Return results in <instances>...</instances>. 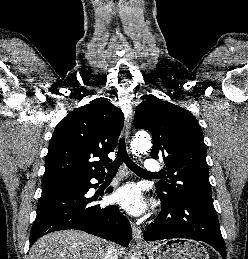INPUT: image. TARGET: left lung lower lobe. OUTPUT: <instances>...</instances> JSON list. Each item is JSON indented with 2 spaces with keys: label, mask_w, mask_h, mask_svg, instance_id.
Here are the masks:
<instances>
[{
  "label": "left lung lower lobe",
  "mask_w": 248,
  "mask_h": 259,
  "mask_svg": "<svg viewBox=\"0 0 248 259\" xmlns=\"http://www.w3.org/2000/svg\"><path fill=\"white\" fill-rule=\"evenodd\" d=\"M160 197V196H159ZM161 198L162 210L154 223L147 226V241L188 238L208 243L226 259L217 214L213 202L167 201Z\"/></svg>",
  "instance_id": "0a47b994"
}]
</instances>
